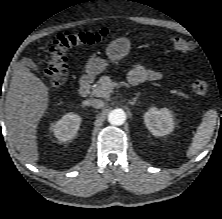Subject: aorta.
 Segmentation results:
<instances>
[{
    "label": "aorta",
    "instance_id": "aorta-1",
    "mask_svg": "<svg viewBox=\"0 0 222 219\" xmlns=\"http://www.w3.org/2000/svg\"><path fill=\"white\" fill-rule=\"evenodd\" d=\"M126 120V113L122 109H114L108 115V122L111 125L120 126Z\"/></svg>",
    "mask_w": 222,
    "mask_h": 219
}]
</instances>
